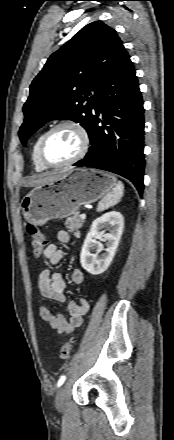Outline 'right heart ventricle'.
<instances>
[{
  "instance_id": "1",
  "label": "right heart ventricle",
  "mask_w": 174,
  "mask_h": 440,
  "mask_svg": "<svg viewBox=\"0 0 174 440\" xmlns=\"http://www.w3.org/2000/svg\"><path fill=\"white\" fill-rule=\"evenodd\" d=\"M45 131L40 132L34 139L31 146V161L36 171L42 172L47 168L40 162L38 156L39 143Z\"/></svg>"
}]
</instances>
